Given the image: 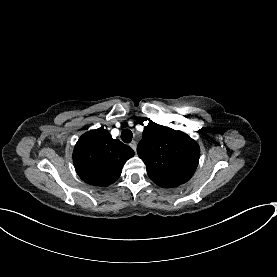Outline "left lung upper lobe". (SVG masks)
<instances>
[{
  "label": "left lung upper lobe",
  "instance_id": "5c2ea615",
  "mask_svg": "<svg viewBox=\"0 0 277 277\" xmlns=\"http://www.w3.org/2000/svg\"><path fill=\"white\" fill-rule=\"evenodd\" d=\"M137 153L146 164L150 179L160 187L171 188L193 176L200 148L187 134L150 121L144 127Z\"/></svg>",
  "mask_w": 277,
  "mask_h": 277
}]
</instances>
